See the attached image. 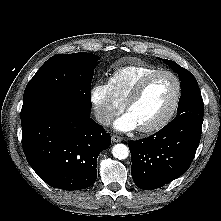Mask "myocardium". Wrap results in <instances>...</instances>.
I'll list each match as a JSON object with an SVG mask.
<instances>
[{"label": "myocardium", "instance_id": "myocardium-1", "mask_svg": "<svg viewBox=\"0 0 221 221\" xmlns=\"http://www.w3.org/2000/svg\"><path fill=\"white\" fill-rule=\"evenodd\" d=\"M160 75H168L170 76L176 85V92H175V96L173 99V102L170 106V108L168 109V111L166 112V114L159 119L157 122L148 125V126H143V127H138V130L140 132L143 133H151V132H155L160 130L161 128H163L164 126H166L171 119L173 118V116L175 115L180 100H181V95H182V84L181 81L179 79V77L173 73L172 71L169 70H157L154 71L146 76H144L134 87V89L132 90V92L130 93V95L128 96V98L126 99V101L124 102V109L126 111H128V109L130 108V106L139 99V97L142 95L143 91L145 90L147 84L155 77L160 76Z\"/></svg>", "mask_w": 221, "mask_h": 221}]
</instances>
